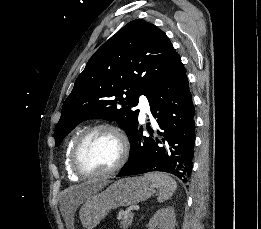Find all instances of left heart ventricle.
Segmentation results:
<instances>
[{"instance_id": "1", "label": "left heart ventricle", "mask_w": 261, "mask_h": 229, "mask_svg": "<svg viewBox=\"0 0 261 229\" xmlns=\"http://www.w3.org/2000/svg\"><path fill=\"white\" fill-rule=\"evenodd\" d=\"M120 155L117 137L108 131L91 135L79 151V163L90 171H105L114 166Z\"/></svg>"}]
</instances>
